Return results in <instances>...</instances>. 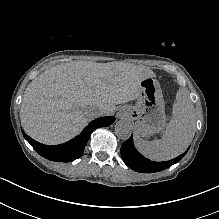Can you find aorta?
<instances>
[{
  "label": "aorta",
  "mask_w": 219,
  "mask_h": 219,
  "mask_svg": "<svg viewBox=\"0 0 219 219\" xmlns=\"http://www.w3.org/2000/svg\"><path fill=\"white\" fill-rule=\"evenodd\" d=\"M115 134L121 140H127L132 134L130 124L126 121H118L115 124Z\"/></svg>",
  "instance_id": "aorta-1"
}]
</instances>
